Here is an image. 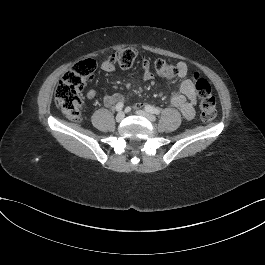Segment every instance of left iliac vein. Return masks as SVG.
<instances>
[{
	"label": "left iliac vein",
	"instance_id": "1",
	"mask_svg": "<svg viewBox=\"0 0 265 265\" xmlns=\"http://www.w3.org/2000/svg\"><path fill=\"white\" fill-rule=\"evenodd\" d=\"M137 115L145 117L146 119H148L151 122L156 121V117L154 115H152L151 113L144 111V110H138L135 112Z\"/></svg>",
	"mask_w": 265,
	"mask_h": 265
}]
</instances>
